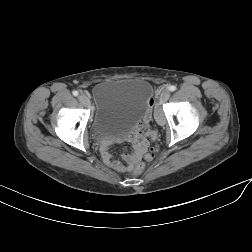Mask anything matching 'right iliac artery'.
<instances>
[{
  "mask_svg": "<svg viewBox=\"0 0 252 252\" xmlns=\"http://www.w3.org/2000/svg\"><path fill=\"white\" fill-rule=\"evenodd\" d=\"M78 94H79L78 91H76V90L73 91V95H74V96H78Z\"/></svg>",
  "mask_w": 252,
  "mask_h": 252,
  "instance_id": "1",
  "label": "right iliac artery"
}]
</instances>
